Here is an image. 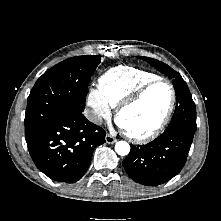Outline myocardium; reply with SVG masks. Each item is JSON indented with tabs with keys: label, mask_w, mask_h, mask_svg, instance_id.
I'll list each match as a JSON object with an SVG mask.
<instances>
[{
	"label": "myocardium",
	"mask_w": 221,
	"mask_h": 221,
	"mask_svg": "<svg viewBox=\"0 0 221 221\" xmlns=\"http://www.w3.org/2000/svg\"><path fill=\"white\" fill-rule=\"evenodd\" d=\"M158 83L167 84L169 86L170 92H171L170 103H169L168 109H167L164 117L162 118L161 122L149 133L134 134V133L128 131L126 128H124V126L122 125L121 119H120L122 112L125 109H127V108L133 106L134 104H136L137 102H139L141 100V98L144 96V94L146 93V91L150 87H152ZM175 104H176V91H175L174 85L172 84V82L170 80H168L166 78L157 77L152 80H149L148 82H146L143 85H141L140 87H138L134 92H132L130 95H128L124 100H122L117 105L116 114H115L116 121L124 130L125 135L131 141L136 142V143L146 142V141L156 138L164 130V128L167 126V124L173 114V111L175 109Z\"/></svg>",
	"instance_id": "obj_1"
}]
</instances>
